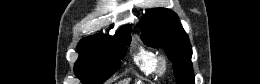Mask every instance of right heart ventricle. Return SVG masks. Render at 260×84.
Here are the masks:
<instances>
[{
	"mask_svg": "<svg viewBox=\"0 0 260 84\" xmlns=\"http://www.w3.org/2000/svg\"><path fill=\"white\" fill-rule=\"evenodd\" d=\"M134 61L144 74L156 72L157 56L153 51L139 47L134 55Z\"/></svg>",
	"mask_w": 260,
	"mask_h": 84,
	"instance_id": "1",
	"label": "right heart ventricle"
}]
</instances>
